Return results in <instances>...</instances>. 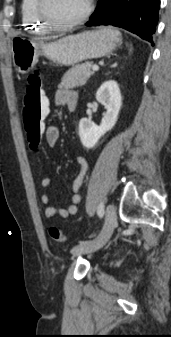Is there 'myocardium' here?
Here are the masks:
<instances>
[{
    "instance_id": "1",
    "label": "myocardium",
    "mask_w": 171,
    "mask_h": 337,
    "mask_svg": "<svg viewBox=\"0 0 171 337\" xmlns=\"http://www.w3.org/2000/svg\"><path fill=\"white\" fill-rule=\"evenodd\" d=\"M49 0H37V12L40 20L49 28L54 30H64L73 28L82 22H84L92 12V4L89 0H87V6L84 12L78 16L77 18L66 21L59 22L52 18L48 10Z\"/></svg>"
}]
</instances>
